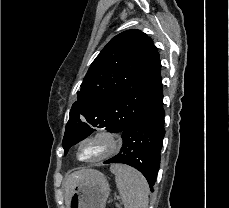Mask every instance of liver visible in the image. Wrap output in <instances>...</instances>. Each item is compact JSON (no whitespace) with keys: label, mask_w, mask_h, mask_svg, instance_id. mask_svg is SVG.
<instances>
[{"label":"liver","mask_w":229,"mask_h":208,"mask_svg":"<svg viewBox=\"0 0 229 208\" xmlns=\"http://www.w3.org/2000/svg\"><path fill=\"white\" fill-rule=\"evenodd\" d=\"M102 176L101 172H97V170H78V172H73L68 176L65 182V192H66V206H69V198L77 184L80 182H84V180H93V178H100Z\"/></svg>","instance_id":"obj_1"}]
</instances>
